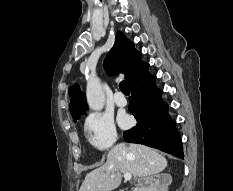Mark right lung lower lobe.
I'll list each match as a JSON object with an SVG mask.
<instances>
[{
  "label": "right lung lower lobe",
  "mask_w": 233,
  "mask_h": 191,
  "mask_svg": "<svg viewBox=\"0 0 233 191\" xmlns=\"http://www.w3.org/2000/svg\"><path fill=\"white\" fill-rule=\"evenodd\" d=\"M148 63L142 62L128 82L132 93L129 111L137 124L125 131V141L140 143L183 159L182 141L168 115V105L161 99L162 90L155 85L156 77L149 73Z\"/></svg>",
  "instance_id": "right-lung-lower-lobe-1"
}]
</instances>
